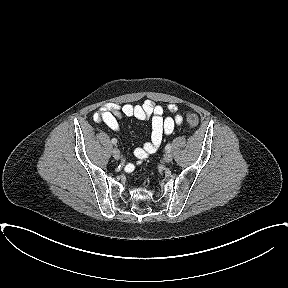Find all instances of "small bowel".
I'll return each mask as SVG.
<instances>
[{"mask_svg": "<svg viewBox=\"0 0 288 288\" xmlns=\"http://www.w3.org/2000/svg\"><path fill=\"white\" fill-rule=\"evenodd\" d=\"M166 109L174 116H164V108L150 100L140 105L107 103L99 108L93 118L95 122L104 123L112 130L119 129V119L122 117H133L139 120L150 118V141L137 147L133 152L138 160H144L160 149L165 135L171 134L176 126L182 124V116L177 114L178 109L175 104H168Z\"/></svg>", "mask_w": 288, "mask_h": 288, "instance_id": "c3829d8e", "label": "small bowel"}]
</instances>
